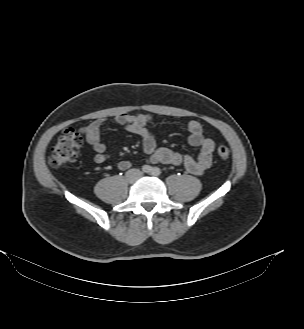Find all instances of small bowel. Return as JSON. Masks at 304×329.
<instances>
[{"label": "small bowel", "instance_id": "1", "mask_svg": "<svg viewBox=\"0 0 304 329\" xmlns=\"http://www.w3.org/2000/svg\"><path fill=\"white\" fill-rule=\"evenodd\" d=\"M151 121V114L145 112L123 113L113 119L115 124L141 138L143 150L151 163L183 166L194 175L203 174L211 166L215 145L211 139L204 136L202 126L198 121L189 120L185 123L189 143L200 150L197 158L158 146L148 128ZM104 123V120L98 119L81 128L87 143L95 152L94 161L97 164H103L111 158L106 145L100 141V132ZM130 166L131 163L127 160L118 163L120 170H127Z\"/></svg>", "mask_w": 304, "mask_h": 329}]
</instances>
